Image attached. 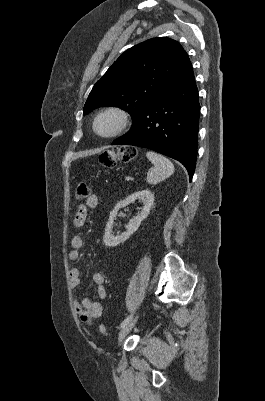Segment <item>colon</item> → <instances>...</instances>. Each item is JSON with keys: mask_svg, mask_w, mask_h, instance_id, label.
<instances>
[{"mask_svg": "<svg viewBox=\"0 0 265 401\" xmlns=\"http://www.w3.org/2000/svg\"><path fill=\"white\" fill-rule=\"evenodd\" d=\"M136 150L132 147H120L110 149L103 152L100 157V163L106 168H113L120 161H131L136 157ZM91 195V186L87 182H81L76 188V198L78 200H86ZM99 330L102 333L106 332L104 325L99 326Z\"/></svg>", "mask_w": 265, "mask_h": 401, "instance_id": "obj_1", "label": "colon"}]
</instances>
